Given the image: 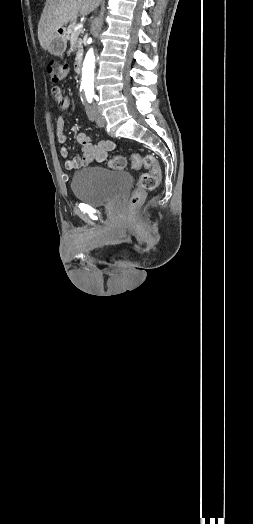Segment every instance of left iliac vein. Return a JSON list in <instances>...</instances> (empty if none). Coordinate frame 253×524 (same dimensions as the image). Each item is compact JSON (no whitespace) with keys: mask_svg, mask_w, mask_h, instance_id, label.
Returning <instances> with one entry per match:
<instances>
[{"mask_svg":"<svg viewBox=\"0 0 253 524\" xmlns=\"http://www.w3.org/2000/svg\"><path fill=\"white\" fill-rule=\"evenodd\" d=\"M94 116H95V122L98 127H104L105 126V119L101 117L98 113L97 107L93 106Z\"/></svg>","mask_w":253,"mask_h":524,"instance_id":"1","label":"left iliac vein"}]
</instances>
